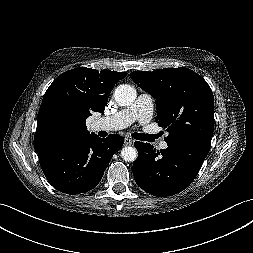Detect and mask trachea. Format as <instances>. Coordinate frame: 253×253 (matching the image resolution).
<instances>
[{
    "label": "trachea",
    "instance_id": "trachea-1",
    "mask_svg": "<svg viewBox=\"0 0 253 253\" xmlns=\"http://www.w3.org/2000/svg\"><path fill=\"white\" fill-rule=\"evenodd\" d=\"M133 137L138 140H143V134L140 133H134Z\"/></svg>",
    "mask_w": 253,
    "mask_h": 253
}]
</instances>
